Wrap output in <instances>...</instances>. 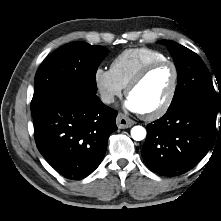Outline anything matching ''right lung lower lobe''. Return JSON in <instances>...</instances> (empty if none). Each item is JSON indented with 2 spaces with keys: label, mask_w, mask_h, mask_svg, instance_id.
Segmentation results:
<instances>
[{
  "label": "right lung lower lobe",
  "mask_w": 221,
  "mask_h": 221,
  "mask_svg": "<svg viewBox=\"0 0 221 221\" xmlns=\"http://www.w3.org/2000/svg\"><path fill=\"white\" fill-rule=\"evenodd\" d=\"M38 150L64 178L81 180L102 162L117 112L96 95L60 93L33 115Z\"/></svg>",
  "instance_id": "98d812e1"
}]
</instances>
